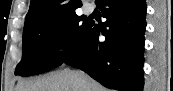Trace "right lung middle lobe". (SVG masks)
<instances>
[{"instance_id":"obj_1","label":"right lung middle lobe","mask_w":173,"mask_h":91,"mask_svg":"<svg viewBox=\"0 0 173 91\" xmlns=\"http://www.w3.org/2000/svg\"><path fill=\"white\" fill-rule=\"evenodd\" d=\"M90 22L75 14L65 18L44 22L24 29L22 60L15 74L30 76L40 74L59 66L83 39ZM63 41L67 47L65 54L56 55V45Z\"/></svg>"}]
</instances>
